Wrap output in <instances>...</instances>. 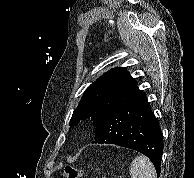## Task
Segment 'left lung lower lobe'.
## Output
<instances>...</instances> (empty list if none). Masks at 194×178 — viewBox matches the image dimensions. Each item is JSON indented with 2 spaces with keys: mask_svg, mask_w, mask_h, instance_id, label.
<instances>
[{
  "mask_svg": "<svg viewBox=\"0 0 194 178\" xmlns=\"http://www.w3.org/2000/svg\"><path fill=\"white\" fill-rule=\"evenodd\" d=\"M92 143L115 144L147 156L160 174L163 136L144 92L121 101L96 126Z\"/></svg>",
  "mask_w": 194,
  "mask_h": 178,
  "instance_id": "1",
  "label": "left lung lower lobe"
}]
</instances>
